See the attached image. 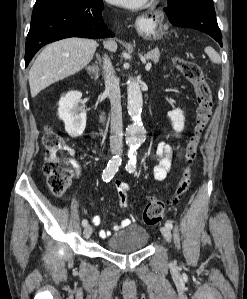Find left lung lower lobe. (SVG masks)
I'll return each mask as SVG.
<instances>
[{"instance_id":"left-lung-lower-lobe-1","label":"left lung lower lobe","mask_w":247,"mask_h":299,"mask_svg":"<svg viewBox=\"0 0 247 299\" xmlns=\"http://www.w3.org/2000/svg\"><path fill=\"white\" fill-rule=\"evenodd\" d=\"M164 11L171 24L202 31L222 46L221 31L213 4L202 0H181L174 7H167Z\"/></svg>"}]
</instances>
